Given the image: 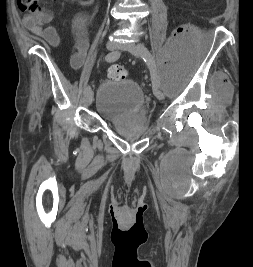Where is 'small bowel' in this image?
<instances>
[{
    "instance_id": "obj_1",
    "label": "small bowel",
    "mask_w": 253,
    "mask_h": 267,
    "mask_svg": "<svg viewBox=\"0 0 253 267\" xmlns=\"http://www.w3.org/2000/svg\"><path fill=\"white\" fill-rule=\"evenodd\" d=\"M92 2L93 0H79L80 5H90ZM52 20L53 13L50 10H44L24 16L23 25L52 47H58L60 38L52 25ZM94 25L95 17L88 12L77 13L71 20L70 27L76 48V52L71 57V64L74 68H80L85 62L91 42L89 29Z\"/></svg>"
}]
</instances>
